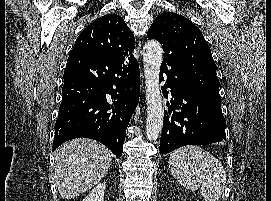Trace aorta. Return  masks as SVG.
<instances>
[{"mask_svg": "<svg viewBox=\"0 0 271 201\" xmlns=\"http://www.w3.org/2000/svg\"><path fill=\"white\" fill-rule=\"evenodd\" d=\"M162 56L163 49L158 41H148L143 47L147 103L146 136L149 141L157 140L163 127L164 110L159 87Z\"/></svg>", "mask_w": 271, "mask_h": 201, "instance_id": "762f6f07", "label": "aorta"}]
</instances>
